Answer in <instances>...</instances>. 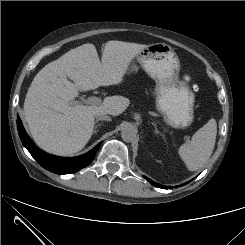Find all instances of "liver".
I'll return each instance as SVG.
<instances>
[{"label":"liver","mask_w":245,"mask_h":245,"mask_svg":"<svg viewBox=\"0 0 245 245\" xmlns=\"http://www.w3.org/2000/svg\"><path fill=\"white\" fill-rule=\"evenodd\" d=\"M147 45L108 41L101 61L95 45L83 44L45 65L34 77L24 102V115L36 144L67 156L82 150L92 136L97 113L118 116L129 100L105 97L100 105L76 104L79 91L123 81L130 63Z\"/></svg>","instance_id":"liver-1"}]
</instances>
